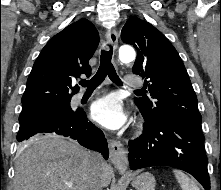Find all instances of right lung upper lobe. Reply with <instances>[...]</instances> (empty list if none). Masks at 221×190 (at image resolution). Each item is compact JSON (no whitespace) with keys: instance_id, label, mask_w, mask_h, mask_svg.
<instances>
[{"instance_id":"right-lung-upper-lobe-1","label":"right lung upper lobe","mask_w":221,"mask_h":190,"mask_svg":"<svg viewBox=\"0 0 221 190\" xmlns=\"http://www.w3.org/2000/svg\"><path fill=\"white\" fill-rule=\"evenodd\" d=\"M98 43L97 29L85 18L53 36L33 65L22 97L23 108L71 99L79 91L77 85L72 87L74 80L91 73L88 62Z\"/></svg>"}]
</instances>
